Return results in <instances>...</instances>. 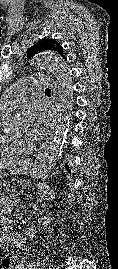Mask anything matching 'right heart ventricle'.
I'll use <instances>...</instances> for the list:
<instances>
[{"label":"right heart ventricle","instance_id":"e07e8e85","mask_svg":"<svg viewBox=\"0 0 118 269\" xmlns=\"http://www.w3.org/2000/svg\"><path fill=\"white\" fill-rule=\"evenodd\" d=\"M8 112L0 108V119ZM20 151L21 147L16 141L15 136L0 130V155L16 154Z\"/></svg>","mask_w":118,"mask_h":269}]
</instances>
